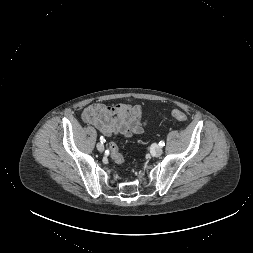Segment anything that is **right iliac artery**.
I'll use <instances>...</instances> for the list:
<instances>
[{
	"instance_id": "obj_1",
	"label": "right iliac artery",
	"mask_w": 253,
	"mask_h": 253,
	"mask_svg": "<svg viewBox=\"0 0 253 253\" xmlns=\"http://www.w3.org/2000/svg\"><path fill=\"white\" fill-rule=\"evenodd\" d=\"M100 141L103 144L106 140L103 138V136L100 137Z\"/></svg>"
}]
</instances>
